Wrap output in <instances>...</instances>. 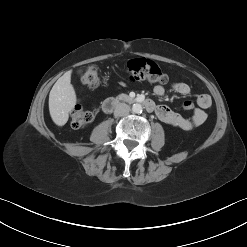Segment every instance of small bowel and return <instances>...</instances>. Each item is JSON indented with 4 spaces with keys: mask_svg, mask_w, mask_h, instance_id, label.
<instances>
[{
    "mask_svg": "<svg viewBox=\"0 0 247 247\" xmlns=\"http://www.w3.org/2000/svg\"><path fill=\"white\" fill-rule=\"evenodd\" d=\"M172 89L181 95L191 94V87L184 82L173 84ZM154 93L157 96H163L166 93V89L161 85H156L154 87ZM197 104L199 108L195 109L193 115L190 118L183 117L182 115L174 112L169 107L164 105L155 106L154 112L156 116L166 124L178 127L183 130H191L205 122L207 114L204 109H207L211 106V97L208 94H201L197 98Z\"/></svg>",
    "mask_w": 247,
    "mask_h": 247,
    "instance_id": "small-bowel-1",
    "label": "small bowel"
}]
</instances>
